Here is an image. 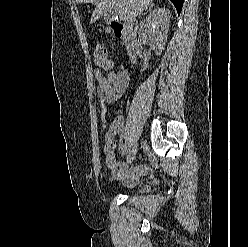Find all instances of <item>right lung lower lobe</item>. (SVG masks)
<instances>
[{"label": "right lung lower lobe", "mask_w": 248, "mask_h": 247, "mask_svg": "<svg viewBox=\"0 0 248 247\" xmlns=\"http://www.w3.org/2000/svg\"><path fill=\"white\" fill-rule=\"evenodd\" d=\"M183 1L184 0H171V2L174 4L178 14H180V12L182 10Z\"/></svg>", "instance_id": "98d812e1"}]
</instances>
